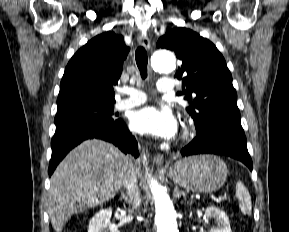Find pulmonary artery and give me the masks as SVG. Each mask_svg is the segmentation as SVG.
I'll return each mask as SVG.
<instances>
[{"mask_svg": "<svg viewBox=\"0 0 289 232\" xmlns=\"http://www.w3.org/2000/svg\"><path fill=\"white\" fill-rule=\"evenodd\" d=\"M173 88V81L169 78H161L157 82V90L160 93L168 94L173 91ZM123 91L128 95V98L121 99L116 103V109L118 110H125L141 105L147 100L146 95L140 90L125 88Z\"/></svg>", "mask_w": 289, "mask_h": 232, "instance_id": "pulmonary-artery-1", "label": "pulmonary artery"}]
</instances>
